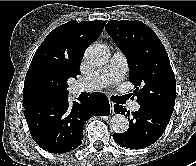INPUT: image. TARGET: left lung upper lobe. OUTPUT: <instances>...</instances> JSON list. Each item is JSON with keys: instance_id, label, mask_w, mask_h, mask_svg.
Masks as SVG:
<instances>
[{"instance_id": "left-lung-upper-lobe-1", "label": "left lung upper lobe", "mask_w": 196, "mask_h": 166, "mask_svg": "<svg viewBox=\"0 0 196 166\" xmlns=\"http://www.w3.org/2000/svg\"><path fill=\"white\" fill-rule=\"evenodd\" d=\"M106 31L125 54L129 80L141 106L172 113L176 80L168 54L155 32L141 21L111 20Z\"/></svg>"}]
</instances>
